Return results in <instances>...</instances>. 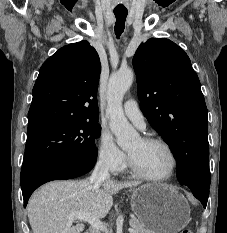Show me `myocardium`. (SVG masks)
Masks as SVG:
<instances>
[{"instance_id":"1","label":"myocardium","mask_w":227,"mask_h":233,"mask_svg":"<svg viewBox=\"0 0 227 233\" xmlns=\"http://www.w3.org/2000/svg\"><path fill=\"white\" fill-rule=\"evenodd\" d=\"M141 140L146 143V144H159L161 146H163L169 153L171 160H172V165H171V169L170 171L163 176H152L149 175L145 172H143L134 162L133 158L131 157V155L128 153V165L129 168L131 170V172L144 180L147 181H154V182H160V181H166L169 180L170 178H172L174 176V174L176 173L177 170V166H178V159L176 156V153L174 152L173 148L171 147V145L166 142L165 140L158 138V137H151V136H145L142 137Z\"/></svg>"}]
</instances>
